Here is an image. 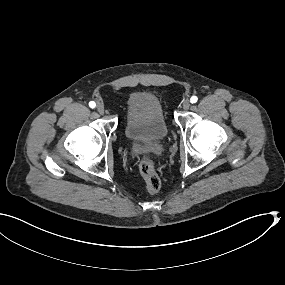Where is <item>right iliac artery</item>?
<instances>
[{"mask_svg":"<svg viewBox=\"0 0 285 285\" xmlns=\"http://www.w3.org/2000/svg\"><path fill=\"white\" fill-rule=\"evenodd\" d=\"M89 106H90L91 108H95L96 103H95L94 101H91V102H89Z\"/></svg>","mask_w":285,"mask_h":285,"instance_id":"right-iliac-artery-1","label":"right iliac artery"}]
</instances>
